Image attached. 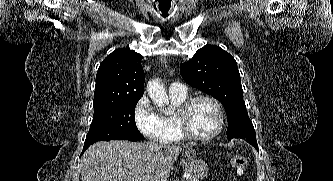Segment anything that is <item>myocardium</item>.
Listing matches in <instances>:
<instances>
[{"mask_svg":"<svg viewBox=\"0 0 333 181\" xmlns=\"http://www.w3.org/2000/svg\"><path fill=\"white\" fill-rule=\"evenodd\" d=\"M201 100H205L210 102L216 109L217 114H218V127L217 129L207 135V136H198L196 134H194L188 124V116L190 113V110L192 109L193 105ZM175 117L176 120L178 122L180 131L182 133V135L188 139V140H192V141H198V142H207L210 141L212 139H214L215 137H217L222 130L224 129L225 126V115H224V110L223 107L221 105V103L214 97L209 96V95H196L190 98H187L175 111Z\"/></svg>","mask_w":333,"mask_h":181,"instance_id":"myocardium-1","label":"myocardium"}]
</instances>
